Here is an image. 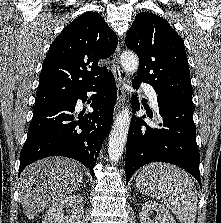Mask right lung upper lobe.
Listing matches in <instances>:
<instances>
[{
	"label": "right lung upper lobe",
	"mask_w": 221,
	"mask_h": 223,
	"mask_svg": "<svg viewBox=\"0 0 221 223\" xmlns=\"http://www.w3.org/2000/svg\"><path fill=\"white\" fill-rule=\"evenodd\" d=\"M117 43L116 34L97 12L72 21L50 46L34 107L66 99L99 81L108 71L98 66V60L113 54Z\"/></svg>",
	"instance_id": "cb5924a9"
}]
</instances>
